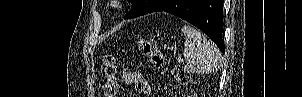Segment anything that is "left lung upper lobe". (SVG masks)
I'll return each instance as SVG.
<instances>
[{
    "mask_svg": "<svg viewBox=\"0 0 302 97\" xmlns=\"http://www.w3.org/2000/svg\"><path fill=\"white\" fill-rule=\"evenodd\" d=\"M129 1L132 3L133 9L130 12H128L126 14V16H129L131 14H134V13L138 12V11H141L142 9H145V7L148 5L147 4L148 0H129Z\"/></svg>",
    "mask_w": 302,
    "mask_h": 97,
    "instance_id": "5c2ea615",
    "label": "left lung upper lobe"
}]
</instances>
